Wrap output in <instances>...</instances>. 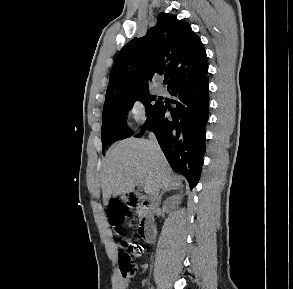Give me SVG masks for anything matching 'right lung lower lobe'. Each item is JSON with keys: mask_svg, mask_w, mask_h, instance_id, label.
Returning <instances> with one entry per match:
<instances>
[{"mask_svg": "<svg viewBox=\"0 0 293 289\" xmlns=\"http://www.w3.org/2000/svg\"><path fill=\"white\" fill-rule=\"evenodd\" d=\"M209 77L182 84L170 90L176 97V108L166 115L167 107L161 102L146 119L135 137L145 130L154 132L158 143L174 171L184 175L192 189L197 185L205 153V132L209 116Z\"/></svg>", "mask_w": 293, "mask_h": 289, "instance_id": "98d812e1", "label": "right lung lower lobe"}]
</instances>
